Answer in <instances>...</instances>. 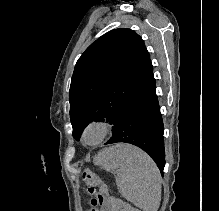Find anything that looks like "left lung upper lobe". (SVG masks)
<instances>
[{
	"instance_id": "1",
	"label": "left lung upper lobe",
	"mask_w": 219,
	"mask_h": 211,
	"mask_svg": "<svg viewBox=\"0 0 219 211\" xmlns=\"http://www.w3.org/2000/svg\"><path fill=\"white\" fill-rule=\"evenodd\" d=\"M153 78L143 40L130 29H115L93 42L78 59L69 102L76 140L93 121L118 124L135 95Z\"/></svg>"
}]
</instances>
